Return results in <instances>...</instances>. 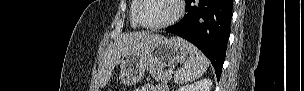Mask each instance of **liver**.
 <instances>
[{"mask_svg": "<svg viewBox=\"0 0 304 91\" xmlns=\"http://www.w3.org/2000/svg\"><path fill=\"white\" fill-rule=\"evenodd\" d=\"M155 36L159 35H150L147 33L123 34L113 44H111L106 50L100 63L98 74L99 86L104 87L109 82L114 67L121 55L130 51L139 50Z\"/></svg>", "mask_w": 304, "mask_h": 91, "instance_id": "6515ba94", "label": "liver"}]
</instances>
